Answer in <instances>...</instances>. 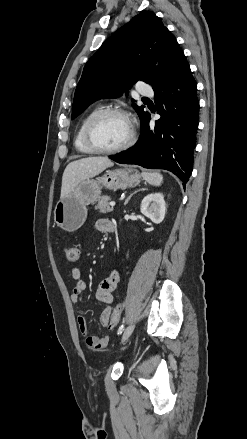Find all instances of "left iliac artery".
<instances>
[{
	"label": "left iliac artery",
	"instance_id": "obj_1",
	"mask_svg": "<svg viewBox=\"0 0 247 439\" xmlns=\"http://www.w3.org/2000/svg\"><path fill=\"white\" fill-rule=\"evenodd\" d=\"M123 330H124V324H122V325L119 327L118 334H121Z\"/></svg>",
	"mask_w": 247,
	"mask_h": 439
}]
</instances>
